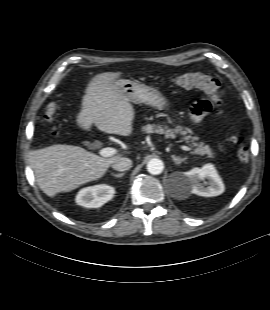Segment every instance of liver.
I'll list each match as a JSON object with an SVG mask.
<instances>
[{
    "label": "liver",
    "instance_id": "liver-1",
    "mask_svg": "<svg viewBox=\"0 0 270 310\" xmlns=\"http://www.w3.org/2000/svg\"><path fill=\"white\" fill-rule=\"evenodd\" d=\"M121 74L104 72L91 79L76 117L79 128L90 131L94 124L109 134L131 135L135 112L129 98L116 88ZM121 157L103 158L78 146L54 144L31 151L30 164L40 189L53 198L101 178Z\"/></svg>",
    "mask_w": 270,
    "mask_h": 310
}]
</instances>
